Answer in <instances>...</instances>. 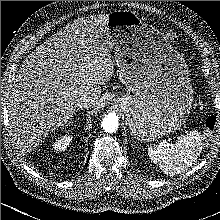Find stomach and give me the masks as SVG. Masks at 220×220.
Listing matches in <instances>:
<instances>
[{"label":"stomach","mask_w":220,"mask_h":220,"mask_svg":"<svg viewBox=\"0 0 220 220\" xmlns=\"http://www.w3.org/2000/svg\"><path fill=\"white\" fill-rule=\"evenodd\" d=\"M107 27L120 80L128 89L115 102L131 134L150 142L179 129L190 113L193 90L188 66L168 34L131 11L111 12Z\"/></svg>","instance_id":"stomach-1"}]
</instances>
